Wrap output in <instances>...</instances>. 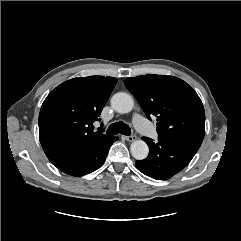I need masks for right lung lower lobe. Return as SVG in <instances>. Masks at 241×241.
<instances>
[{
	"label": "right lung lower lobe",
	"instance_id": "right-lung-lower-lobe-1",
	"mask_svg": "<svg viewBox=\"0 0 241 241\" xmlns=\"http://www.w3.org/2000/svg\"><path fill=\"white\" fill-rule=\"evenodd\" d=\"M117 139L108 136L90 147L61 154L50 161L68 175L82 176L93 172L104 163L110 146Z\"/></svg>",
	"mask_w": 241,
	"mask_h": 241
}]
</instances>
